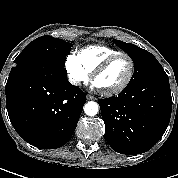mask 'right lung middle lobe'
Here are the masks:
<instances>
[{"label": "right lung middle lobe", "mask_w": 178, "mask_h": 178, "mask_svg": "<svg viewBox=\"0 0 178 178\" xmlns=\"http://www.w3.org/2000/svg\"><path fill=\"white\" fill-rule=\"evenodd\" d=\"M73 44L52 36H41L30 42L14 60V67L18 68H38L57 67L61 73L67 74L65 60L67 53Z\"/></svg>", "instance_id": "obj_1"}]
</instances>
